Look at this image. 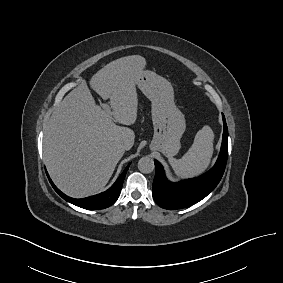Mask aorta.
<instances>
[{
	"label": "aorta",
	"mask_w": 283,
	"mask_h": 283,
	"mask_svg": "<svg viewBox=\"0 0 283 283\" xmlns=\"http://www.w3.org/2000/svg\"><path fill=\"white\" fill-rule=\"evenodd\" d=\"M154 168V161L148 156H144L138 161V169L142 173L149 174L154 170Z\"/></svg>",
	"instance_id": "762f6f07"
}]
</instances>
